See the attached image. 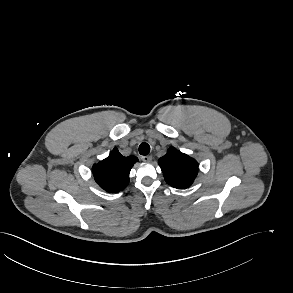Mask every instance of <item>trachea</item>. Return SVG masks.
Returning <instances> with one entry per match:
<instances>
[{
	"label": "trachea",
	"instance_id": "obj_1",
	"mask_svg": "<svg viewBox=\"0 0 293 293\" xmlns=\"http://www.w3.org/2000/svg\"><path fill=\"white\" fill-rule=\"evenodd\" d=\"M149 152H150V146L145 142L141 143L139 146V153L141 155L146 156L149 154Z\"/></svg>",
	"mask_w": 293,
	"mask_h": 293
}]
</instances>
